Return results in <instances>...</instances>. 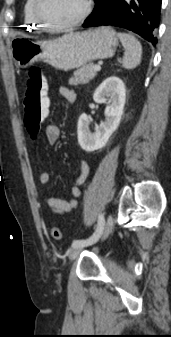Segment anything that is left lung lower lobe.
Wrapping results in <instances>:
<instances>
[{"instance_id": "0a47b994", "label": "left lung lower lobe", "mask_w": 171, "mask_h": 337, "mask_svg": "<svg viewBox=\"0 0 171 337\" xmlns=\"http://www.w3.org/2000/svg\"><path fill=\"white\" fill-rule=\"evenodd\" d=\"M93 12L83 27L116 26L131 30L153 45L160 22L162 0H95Z\"/></svg>"}]
</instances>
